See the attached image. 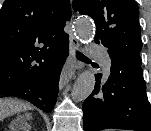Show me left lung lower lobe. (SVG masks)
Instances as JSON below:
<instances>
[{
	"label": "left lung lower lobe",
	"mask_w": 151,
	"mask_h": 131,
	"mask_svg": "<svg viewBox=\"0 0 151 131\" xmlns=\"http://www.w3.org/2000/svg\"><path fill=\"white\" fill-rule=\"evenodd\" d=\"M110 72L105 82H101L102 74L95 75V89L82 106L84 131H151V106L142 68L112 62Z\"/></svg>",
	"instance_id": "obj_1"
}]
</instances>
